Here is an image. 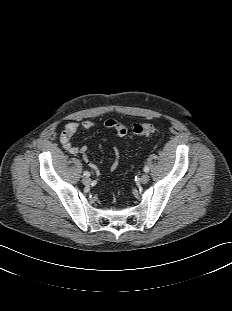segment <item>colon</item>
<instances>
[{
    "instance_id": "colon-1",
    "label": "colon",
    "mask_w": 232,
    "mask_h": 311,
    "mask_svg": "<svg viewBox=\"0 0 232 311\" xmlns=\"http://www.w3.org/2000/svg\"><path fill=\"white\" fill-rule=\"evenodd\" d=\"M158 132V127L153 123H139L132 127V134L136 136H148Z\"/></svg>"
}]
</instances>
